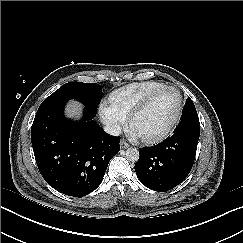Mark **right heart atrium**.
I'll list each match as a JSON object with an SVG mask.
<instances>
[{
    "instance_id": "1",
    "label": "right heart atrium",
    "mask_w": 243,
    "mask_h": 243,
    "mask_svg": "<svg viewBox=\"0 0 243 243\" xmlns=\"http://www.w3.org/2000/svg\"><path fill=\"white\" fill-rule=\"evenodd\" d=\"M99 116L102 123L107 127L111 133H116L122 129L124 119L116 115L110 107L103 105L100 108Z\"/></svg>"
}]
</instances>
